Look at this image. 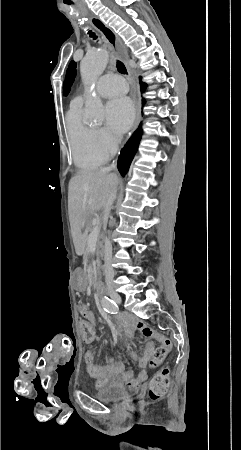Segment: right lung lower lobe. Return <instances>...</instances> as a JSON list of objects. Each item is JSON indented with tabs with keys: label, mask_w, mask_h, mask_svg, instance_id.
<instances>
[{
	"label": "right lung lower lobe",
	"mask_w": 241,
	"mask_h": 450,
	"mask_svg": "<svg viewBox=\"0 0 241 450\" xmlns=\"http://www.w3.org/2000/svg\"><path fill=\"white\" fill-rule=\"evenodd\" d=\"M139 79H140V90H141V92H144L147 85L141 81V77ZM145 103H146V101L143 98L142 106H144ZM141 135H142V128H141V124H140L139 127L137 128V130L135 131V133L132 135V137L127 142V144L121 150V154L118 158V170L120 171L122 176H124L129 169V166H130V164L134 158V155L138 149V145L141 140Z\"/></svg>",
	"instance_id": "98d812e1"
}]
</instances>
